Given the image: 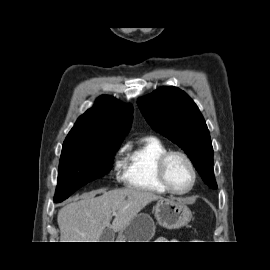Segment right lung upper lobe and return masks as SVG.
<instances>
[{"label": "right lung upper lobe", "instance_id": "cb5924a9", "mask_svg": "<svg viewBox=\"0 0 270 270\" xmlns=\"http://www.w3.org/2000/svg\"><path fill=\"white\" fill-rule=\"evenodd\" d=\"M132 113L131 104L122 105L115 98L102 95L94 107L78 118L64 142H121L131 128Z\"/></svg>", "mask_w": 270, "mask_h": 270}]
</instances>
